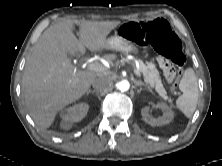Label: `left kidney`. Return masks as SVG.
Wrapping results in <instances>:
<instances>
[{"mask_svg":"<svg viewBox=\"0 0 222 166\" xmlns=\"http://www.w3.org/2000/svg\"><path fill=\"white\" fill-rule=\"evenodd\" d=\"M156 107L162 110L163 115L161 117H151L149 114V106H145L142 108L141 114L146 123L150 124L151 126H163L169 124L174 119V114L166 103H157Z\"/></svg>","mask_w":222,"mask_h":166,"instance_id":"1","label":"left kidney"}]
</instances>
